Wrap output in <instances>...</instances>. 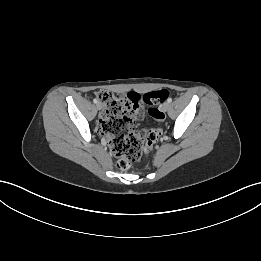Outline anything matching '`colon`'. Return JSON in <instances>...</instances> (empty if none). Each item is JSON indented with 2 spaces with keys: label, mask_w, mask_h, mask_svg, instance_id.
I'll list each match as a JSON object with an SVG mask.
<instances>
[{
  "label": "colon",
  "mask_w": 261,
  "mask_h": 261,
  "mask_svg": "<svg viewBox=\"0 0 261 261\" xmlns=\"http://www.w3.org/2000/svg\"><path fill=\"white\" fill-rule=\"evenodd\" d=\"M168 95L169 91L166 89L149 92L143 96L131 93L126 98L106 90L97 93V97L104 106L99 131L102 135L112 137L111 149L118 158L117 168L126 170L133 163L139 161L161 135L159 129H147V136H140L139 132H136L133 128L134 109L141 101L155 105L164 101ZM149 114L158 122L166 120V115L159 108L151 107ZM160 129L163 131L165 127L162 125Z\"/></svg>",
  "instance_id": "obj_1"
}]
</instances>
